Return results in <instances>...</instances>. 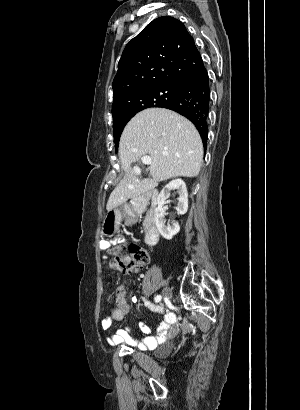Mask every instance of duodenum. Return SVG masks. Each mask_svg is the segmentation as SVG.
I'll list each match as a JSON object with an SVG mask.
<instances>
[{
	"mask_svg": "<svg viewBox=\"0 0 300 410\" xmlns=\"http://www.w3.org/2000/svg\"><path fill=\"white\" fill-rule=\"evenodd\" d=\"M158 191L150 192L147 199L150 200V205L146 206L141 200H134L133 205L135 212H145V231L144 240L149 246H154L159 240V229L157 226L156 213L154 204L157 201Z\"/></svg>",
	"mask_w": 300,
	"mask_h": 410,
	"instance_id": "1",
	"label": "duodenum"
}]
</instances>
